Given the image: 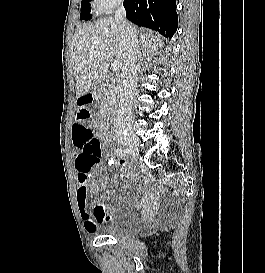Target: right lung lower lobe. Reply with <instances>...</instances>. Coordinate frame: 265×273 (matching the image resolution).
<instances>
[{"instance_id":"1","label":"right lung lower lobe","mask_w":265,"mask_h":273,"mask_svg":"<svg viewBox=\"0 0 265 273\" xmlns=\"http://www.w3.org/2000/svg\"><path fill=\"white\" fill-rule=\"evenodd\" d=\"M126 17L136 25L172 37L177 30L178 16L175 0H124Z\"/></svg>"}]
</instances>
